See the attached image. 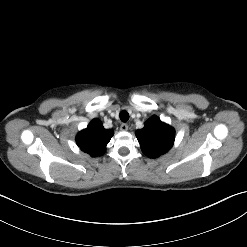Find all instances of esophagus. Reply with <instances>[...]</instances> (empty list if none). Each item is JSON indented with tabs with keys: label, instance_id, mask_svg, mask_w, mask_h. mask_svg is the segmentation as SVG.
I'll use <instances>...</instances> for the list:
<instances>
[{
	"label": "esophagus",
	"instance_id": "esophagus-1",
	"mask_svg": "<svg viewBox=\"0 0 247 247\" xmlns=\"http://www.w3.org/2000/svg\"><path fill=\"white\" fill-rule=\"evenodd\" d=\"M120 129L122 131H126V130H128V125L126 123H122L121 126H120Z\"/></svg>",
	"mask_w": 247,
	"mask_h": 247
}]
</instances>
